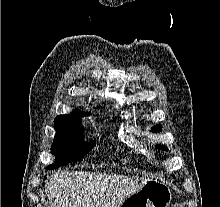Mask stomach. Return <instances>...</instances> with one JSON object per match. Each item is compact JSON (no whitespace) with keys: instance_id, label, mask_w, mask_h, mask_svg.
Returning <instances> with one entry per match:
<instances>
[{"instance_id":"1","label":"stomach","mask_w":220,"mask_h":207,"mask_svg":"<svg viewBox=\"0 0 220 207\" xmlns=\"http://www.w3.org/2000/svg\"><path fill=\"white\" fill-rule=\"evenodd\" d=\"M172 200L170 188L155 179H147L142 187L128 196L119 207H168Z\"/></svg>"}]
</instances>
